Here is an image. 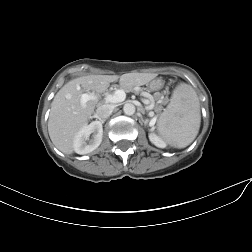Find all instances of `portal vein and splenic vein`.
<instances>
[{"mask_svg":"<svg viewBox=\"0 0 252 252\" xmlns=\"http://www.w3.org/2000/svg\"><path fill=\"white\" fill-rule=\"evenodd\" d=\"M126 98V94L124 92V90H116L115 93L113 95L109 94L105 97V100L107 102H111V103H118V102H122L124 101ZM98 99V95L94 94V93H84L81 96V105L84 106L86 104L87 101L89 100H97ZM143 102L145 104H147L146 100H143ZM148 109H151V107H147ZM150 116H153V112L149 113ZM153 121H156V119L154 118Z\"/></svg>","mask_w":252,"mask_h":252,"instance_id":"1","label":"portal vein and splenic vein"}]
</instances>
